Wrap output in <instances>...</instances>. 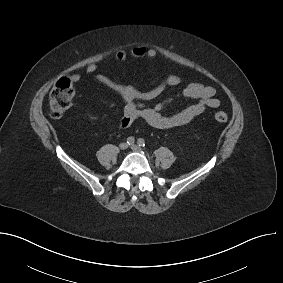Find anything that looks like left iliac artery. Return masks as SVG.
Listing matches in <instances>:
<instances>
[{"instance_id":"obj_1","label":"left iliac artery","mask_w":283,"mask_h":283,"mask_svg":"<svg viewBox=\"0 0 283 283\" xmlns=\"http://www.w3.org/2000/svg\"><path fill=\"white\" fill-rule=\"evenodd\" d=\"M137 143L139 144V146H145V141H144V139H142V138H139L138 140H137Z\"/></svg>"}]
</instances>
